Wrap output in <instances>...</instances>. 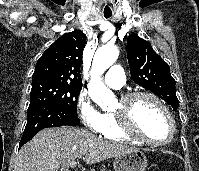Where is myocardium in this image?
<instances>
[{"label": "myocardium", "mask_w": 199, "mask_h": 171, "mask_svg": "<svg viewBox=\"0 0 199 171\" xmlns=\"http://www.w3.org/2000/svg\"><path fill=\"white\" fill-rule=\"evenodd\" d=\"M141 97H146L156 102L163 109L165 115L167 116L170 125V136L166 141H153L142 135L135 126L132 114V107L134 101ZM113 114L117 119V123L120 130L129 137L141 143L155 147L166 146L173 141L176 135L175 120L169 107L158 95H156L153 92L146 90H135L126 93L121 97L119 107L113 112Z\"/></svg>", "instance_id": "obj_1"}]
</instances>
